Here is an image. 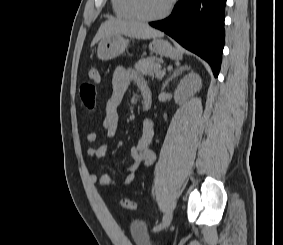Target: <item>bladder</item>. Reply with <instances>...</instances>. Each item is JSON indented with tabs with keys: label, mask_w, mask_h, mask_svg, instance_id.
<instances>
[{
	"label": "bladder",
	"mask_w": 283,
	"mask_h": 245,
	"mask_svg": "<svg viewBox=\"0 0 283 245\" xmlns=\"http://www.w3.org/2000/svg\"><path fill=\"white\" fill-rule=\"evenodd\" d=\"M129 233L136 245H154L151 234L145 222L139 219L131 221Z\"/></svg>",
	"instance_id": "obj_1"
}]
</instances>
